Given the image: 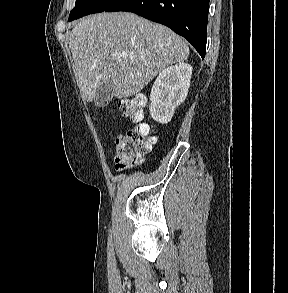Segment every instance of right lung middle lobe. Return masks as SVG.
<instances>
[{
    "mask_svg": "<svg viewBox=\"0 0 288 293\" xmlns=\"http://www.w3.org/2000/svg\"><path fill=\"white\" fill-rule=\"evenodd\" d=\"M118 0H76L75 7L71 10L68 21L81 18L88 14L103 12Z\"/></svg>",
    "mask_w": 288,
    "mask_h": 293,
    "instance_id": "obj_1",
    "label": "right lung middle lobe"
}]
</instances>
